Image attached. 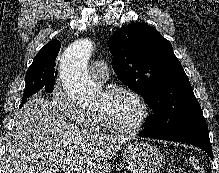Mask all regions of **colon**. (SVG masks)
<instances>
[{
	"label": "colon",
	"mask_w": 219,
	"mask_h": 173,
	"mask_svg": "<svg viewBox=\"0 0 219 173\" xmlns=\"http://www.w3.org/2000/svg\"><path fill=\"white\" fill-rule=\"evenodd\" d=\"M170 173H187L183 168L176 167L170 171Z\"/></svg>",
	"instance_id": "colon-1"
}]
</instances>
